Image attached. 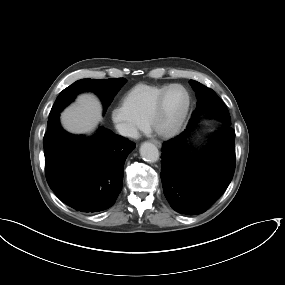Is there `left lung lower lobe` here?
I'll list each match as a JSON object with an SVG mask.
<instances>
[{
  "label": "left lung lower lobe",
  "instance_id": "obj_1",
  "mask_svg": "<svg viewBox=\"0 0 285 285\" xmlns=\"http://www.w3.org/2000/svg\"><path fill=\"white\" fill-rule=\"evenodd\" d=\"M213 107L222 108L216 101ZM223 122V121H222ZM191 127L165 142L161 156L163 191L171 207L187 215L204 213L226 190L235 170V130L223 122L216 139L198 154H191L187 137Z\"/></svg>",
  "mask_w": 285,
  "mask_h": 285
}]
</instances>
